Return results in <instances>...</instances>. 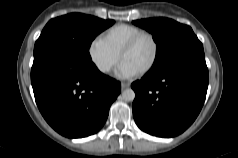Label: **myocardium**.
Masks as SVG:
<instances>
[{
	"instance_id": "obj_1",
	"label": "myocardium",
	"mask_w": 238,
	"mask_h": 158,
	"mask_svg": "<svg viewBox=\"0 0 238 158\" xmlns=\"http://www.w3.org/2000/svg\"><path fill=\"white\" fill-rule=\"evenodd\" d=\"M144 37H148L152 44H153V56L152 59L150 60V62L144 67L142 68L138 73L140 74H144L147 73L148 71H150L154 65L156 64L157 60H158V56H159V43L156 39V37L150 33V32H140L137 35H135L134 37H132L122 48L121 52H120V59L123 60L124 55L129 52L130 50H132L137 43Z\"/></svg>"
}]
</instances>
